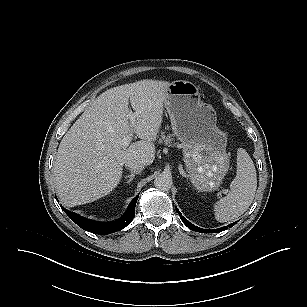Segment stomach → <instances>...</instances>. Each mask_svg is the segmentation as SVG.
<instances>
[{"mask_svg":"<svg viewBox=\"0 0 307 307\" xmlns=\"http://www.w3.org/2000/svg\"><path fill=\"white\" fill-rule=\"evenodd\" d=\"M164 105L175 136L183 148V160L199 191L217 190L229 169L226 134L216 126L214 108L202 102L199 88L189 81L170 84Z\"/></svg>","mask_w":307,"mask_h":307,"instance_id":"obj_1","label":"stomach"}]
</instances>
